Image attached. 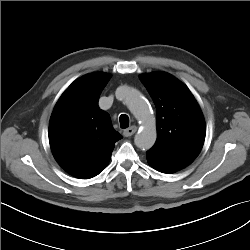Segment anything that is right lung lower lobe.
<instances>
[{"label":"right lung lower lobe","instance_id":"1","mask_svg":"<svg viewBox=\"0 0 250 250\" xmlns=\"http://www.w3.org/2000/svg\"><path fill=\"white\" fill-rule=\"evenodd\" d=\"M105 167H106V166H105ZM105 167H103L102 169H100V170H99L95 175H93L92 177L98 175ZM92 177H90V178H92Z\"/></svg>","mask_w":250,"mask_h":250}]
</instances>
